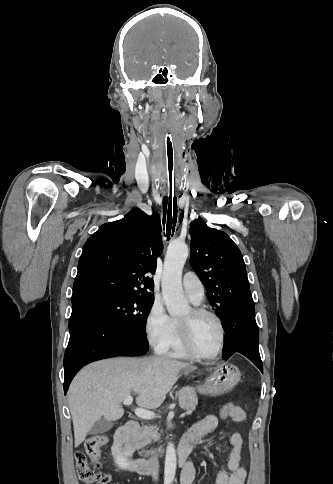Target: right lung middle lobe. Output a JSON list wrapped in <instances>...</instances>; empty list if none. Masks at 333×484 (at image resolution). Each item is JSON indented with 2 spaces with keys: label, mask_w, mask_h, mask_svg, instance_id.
Returning <instances> with one entry per match:
<instances>
[{
  "label": "right lung middle lobe",
  "mask_w": 333,
  "mask_h": 484,
  "mask_svg": "<svg viewBox=\"0 0 333 484\" xmlns=\"http://www.w3.org/2000/svg\"><path fill=\"white\" fill-rule=\"evenodd\" d=\"M82 300L99 307L112 321L142 340L146 338V320L153 305V296L117 295L94 292Z\"/></svg>",
  "instance_id": "1"
}]
</instances>
